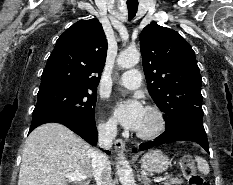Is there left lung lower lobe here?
<instances>
[{
    "mask_svg": "<svg viewBox=\"0 0 233 185\" xmlns=\"http://www.w3.org/2000/svg\"><path fill=\"white\" fill-rule=\"evenodd\" d=\"M181 140L196 142L209 153L208 140L203 127L202 108L188 112L179 121L166 128V131L158 138L140 145L139 149L147 150L157 145ZM133 151H136V149H133Z\"/></svg>",
    "mask_w": 233,
    "mask_h": 185,
    "instance_id": "0a47b994",
    "label": "left lung lower lobe"
}]
</instances>
